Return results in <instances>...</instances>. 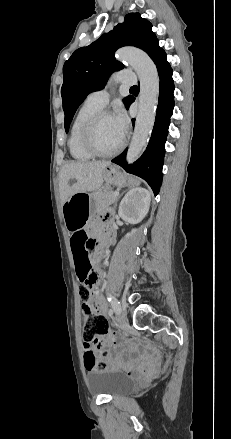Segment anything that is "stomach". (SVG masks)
<instances>
[{
  "label": "stomach",
  "mask_w": 231,
  "mask_h": 439,
  "mask_svg": "<svg viewBox=\"0 0 231 439\" xmlns=\"http://www.w3.org/2000/svg\"><path fill=\"white\" fill-rule=\"evenodd\" d=\"M103 179L108 185L127 186L135 185L138 180L127 177L113 165L103 171ZM95 195L89 192L73 194L62 206V214L67 228L71 231L81 228L88 216L95 212Z\"/></svg>",
  "instance_id": "1"
}]
</instances>
